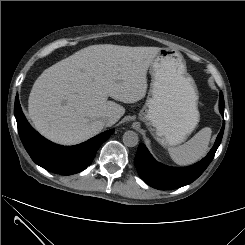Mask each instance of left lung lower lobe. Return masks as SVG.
<instances>
[{
    "instance_id": "obj_1",
    "label": "left lung lower lobe",
    "mask_w": 245,
    "mask_h": 245,
    "mask_svg": "<svg viewBox=\"0 0 245 245\" xmlns=\"http://www.w3.org/2000/svg\"><path fill=\"white\" fill-rule=\"evenodd\" d=\"M219 110L224 118V98L222 92H220L219 97ZM224 127L225 121H223L215 144L207 156L189 167L176 168L160 164L154 160L144 145H139L134 160L139 176L146 184L160 190H172L192 183L205 171L214 158L215 152L222 140Z\"/></svg>"
}]
</instances>
